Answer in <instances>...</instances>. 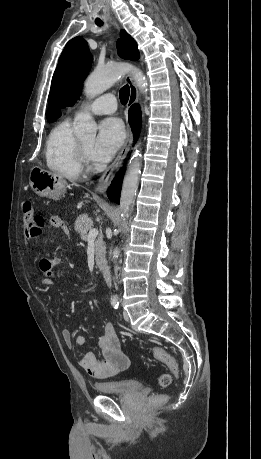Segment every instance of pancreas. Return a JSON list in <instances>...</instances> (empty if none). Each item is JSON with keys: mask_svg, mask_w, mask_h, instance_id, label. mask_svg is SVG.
<instances>
[{"mask_svg": "<svg viewBox=\"0 0 261 459\" xmlns=\"http://www.w3.org/2000/svg\"><path fill=\"white\" fill-rule=\"evenodd\" d=\"M93 222L87 214L80 215L75 221L74 228L80 234L83 241L88 239V231L92 229ZM105 257V244L103 242V235L100 234L95 241V259L96 264L100 265Z\"/></svg>", "mask_w": 261, "mask_h": 459, "instance_id": "obj_1", "label": "pancreas"}]
</instances>
